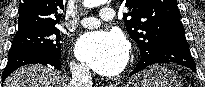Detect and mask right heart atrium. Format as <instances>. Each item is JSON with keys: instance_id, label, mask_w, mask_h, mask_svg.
<instances>
[{"instance_id": "d8ad5b80", "label": "right heart atrium", "mask_w": 205, "mask_h": 87, "mask_svg": "<svg viewBox=\"0 0 205 87\" xmlns=\"http://www.w3.org/2000/svg\"><path fill=\"white\" fill-rule=\"evenodd\" d=\"M71 69L75 74H82L88 72L87 67L83 63L75 62V61L71 63Z\"/></svg>"}]
</instances>
